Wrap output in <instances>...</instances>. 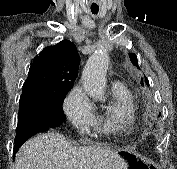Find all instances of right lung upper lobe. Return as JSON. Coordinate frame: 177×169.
Returning <instances> with one entry per match:
<instances>
[{"mask_svg": "<svg viewBox=\"0 0 177 169\" xmlns=\"http://www.w3.org/2000/svg\"><path fill=\"white\" fill-rule=\"evenodd\" d=\"M79 63L76 46L68 40L44 48L29 69L20 99L50 101L67 94L78 75Z\"/></svg>", "mask_w": 177, "mask_h": 169, "instance_id": "1", "label": "right lung upper lobe"}]
</instances>
